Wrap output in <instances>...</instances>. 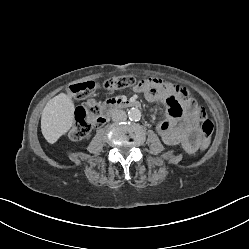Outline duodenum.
Returning a JSON list of instances; mask_svg holds the SVG:
<instances>
[{"instance_id":"1","label":"duodenum","mask_w":249,"mask_h":249,"mask_svg":"<svg viewBox=\"0 0 249 249\" xmlns=\"http://www.w3.org/2000/svg\"><path fill=\"white\" fill-rule=\"evenodd\" d=\"M140 102L136 100L115 98L108 100L103 106L102 120L109 118L114 112L125 108H140Z\"/></svg>"}]
</instances>
